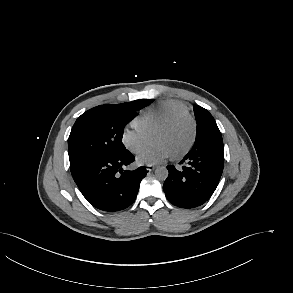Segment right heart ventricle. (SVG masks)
I'll return each instance as SVG.
<instances>
[{
	"mask_svg": "<svg viewBox=\"0 0 293 293\" xmlns=\"http://www.w3.org/2000/svg\"><path fill=\"white\" fill-rule=\"evenodd\" d=\"M188 112L187 106L177 100H161L145 108L133 121V125L146 135L168 119L179 113Z\"/></svg>",
	"mask_w": 293,
	"mask_h": 293,
	"instance_id": "right-heart-ventricle-1",
	"label": "right heart ventricle"
}]
</instances>
